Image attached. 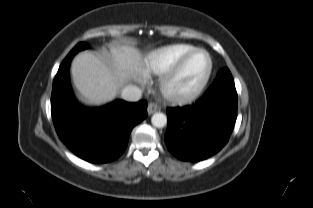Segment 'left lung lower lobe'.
<instances>
[{
    "label": "left lung lower lobe",
    "mask_w": 313,
    "mask_h": 208,
    "mask_svg": "<svg viewBox=\"0 0 313 208\" xmlns=\"http://www.w3.org/2000/svg\"><path fill=\"white\" fill-rule=\"evenodd\" d=\"M165 143L183 161L211 157L228 142L237 118V92L232 81L217 78L190 106L168 108Z\"/></svg>",
    "instance_id": "0a47b994"
}]
</instances>
